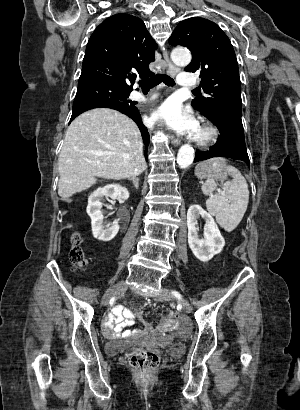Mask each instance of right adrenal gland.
Listing matches in <instances>:
<instances>
[{
	"label": "right adrenal gland",
	"instance_id": "2a0ac1e0",
	"mask_svg": "<svg viewBox=\"0 0 300 410\" xmlns=\"http://www.w3.org/2000/svg\"><path fill=\"white\" fill-rule=\"evenodd\" d=\"M128 180L132 181L135 188L138 189L139 188V178L138 177H132V178H128Z\"/></svg>",
	"mask_w": 300,
	"mask_h": 410
}]
</instances>
